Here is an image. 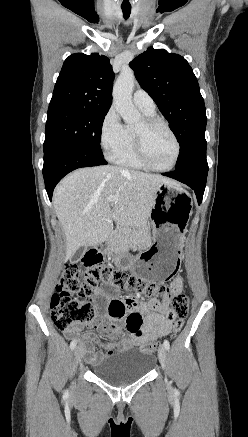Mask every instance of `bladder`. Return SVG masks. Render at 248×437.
Wrapping results in <instances>:
<instances>
[{
    "label": "bladder",
    "instance_id": "bladder-1",
    "mask_svg": "<svg viewBox=\"0 0 248 437\" xmlns=\"http://www.w3.org/2000/svg\"><path fill=\"white\" fill-rule=\"evenodd\" d=\"M154 361L151 353L129 349L106 358L94 374L110 385L124 386L146 376Z\"/></svg>",
    "mask_w": 248,
    "mask_h": 437
}]
</instances>
